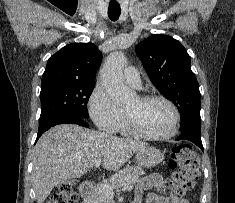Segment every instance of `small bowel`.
Masks as SVG:
<instances>
[{
    "label": "small bowel",
    "instance_id": "obj_1",
    "mask_svg": "<svg viewBox=\"0 0 235 203\" xmlns=\"http://www.w3.org/2000/svg\"><path fill=\"white\" fill-rule=\"evenodd\" d=\"M166 184L159 174H151L140 179L135 189V200L141 203L147 193L146 203H189L184 197L166 194Z\"/></svg>",
    "mask_w": 235,
    "mask_h": 203
}]
</instances>
